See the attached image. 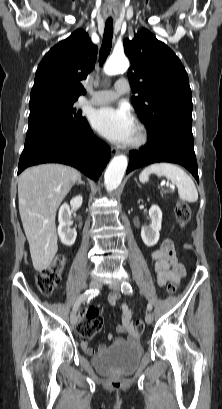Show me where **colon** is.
Returning <instances> with one entry per match:
<instances>
[{"label": "colon", "instance_id": "1", "mask_svg": "<svg viewBox=\"0 0 222 409\" xmlns=\"http://www.w3.org/2000/svg\"><path fill=\"white\" fill-rule=\"evenodd\" d=\"M175 218L180 227H184L189 222L191 211L186 202H179L176 204ZM65 263V257L63 255H58L52 260L47 268L39 272L36 277V285L41 294L50 296L54 293L60 282ZM176 289V283H169L167 286V292L169 294H173ZM101 327L102 319L99 315L98 309L95 307H88L84 311V318L79 326L80 336L83 339H90L100 331ZM136 329L140 335L143 333L144 323L141 319L136 322Z\"/></svg>", "mask_w": 222, "mask_h": 409}]
</instances>
